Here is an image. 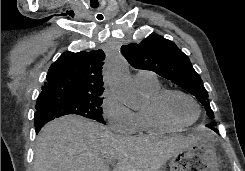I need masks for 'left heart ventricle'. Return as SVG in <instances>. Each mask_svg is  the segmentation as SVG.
Masks as SVG:
<instances>
[{"instance_id": "obj_1", "label": "left heart ventricle", "mask_w": 245, "mask_h": 171, "mask_svg": "<svg viewBox=\"0 0 245 171\" xmlns=\"http://www.w3.org/2000/svg\"><path fill=\"white\" fill-rule=\"evenodd\" d=\"M171 116L181 123H188L195 119L197 109L194 104L182 95H173L168 102Z\"/></svg>"}]
</instances>
